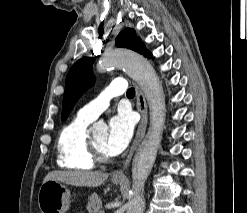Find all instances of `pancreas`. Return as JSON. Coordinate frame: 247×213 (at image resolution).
Masks as SVG:
<instances>
[{"label":"pancreas","mask_w":247,"mask_h":213,"mask_svg":"<svg viewBox=\"0 0 247 213\" xmlns=\"http://www.w3.org/2000/svg\"><path fill=\"white\" fill-rule=\"evenodd\" d=\"M88 213H103L102 200L97 194L88 197L87 206Z\"/></svg>","instance_id":"pancreas-1"}]
</instances>
